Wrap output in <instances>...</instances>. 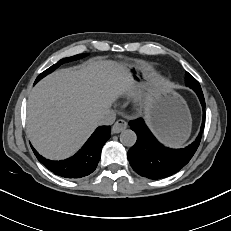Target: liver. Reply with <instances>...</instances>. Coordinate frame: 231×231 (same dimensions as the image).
Returning <instances> with one entry per match:
<instances>
[{"instance_id":"obj_1","label":"liver","mask_w":231,"mask_h":231,"mask_svg":"<svg viewBox=\"0 0 231 231\" xmlns=\"http://www.w3.org/2000/svg\"><path fill=\"white\" fill-rule=\"evenodd\" d=\"M134 91L128 70L101 58L55 71L29 95L27 134L44 157L67 158L84 144L116 98Z\"/></svg>"}]
</instances>
